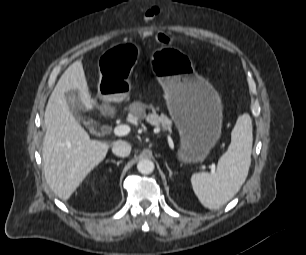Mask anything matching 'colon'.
I'll list each match as a JSON object with an SVG mask.
<instances>
[{"instance_id":"1","label":"colon","mask_w":306,"mask_h":255,"mask_svg":"<svg viewBox=\"0 0 306 255\" xmlns=\"http://www.w3.org/2000/svg\"><path fill=\"white\" fill-rule=\"evenodd\" d=\"M160 14V8L158 6H151L143 11V16L147 20H152ZM152 34L147 33L146 37H150ZM157 38L162 43H168L169 39L163 34H157Z\"/></svg>"}]
</instances>
